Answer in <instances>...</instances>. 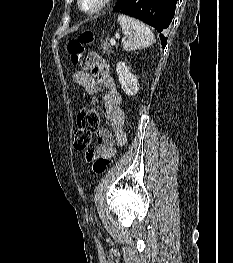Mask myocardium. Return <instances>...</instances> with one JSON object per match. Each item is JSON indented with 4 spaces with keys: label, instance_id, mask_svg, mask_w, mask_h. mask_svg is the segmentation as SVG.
Listing matches in <instances>:
<instances>
[{
    "label": "myocardium",
    "instance_id": "1",
    "mask_svg": "<svg viewBox=\"0 0 233 263\" xmlns=\"http://www.w3.org/2000/svg\"><path fill=\"white\" fill-rule=\"evenodd\" d=\"M111 0H98L97 4L92 8L85 7V0H78V7L80 11H82L86 15H95L104 10L109 4Z\"/></svg>",
    "mask_w": 233,
    "mask_h": 263
}]
</instances>
